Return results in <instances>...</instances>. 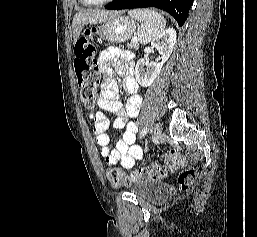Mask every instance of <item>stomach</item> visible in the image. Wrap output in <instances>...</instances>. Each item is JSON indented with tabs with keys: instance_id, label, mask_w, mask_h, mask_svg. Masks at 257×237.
Returning a JSON list of instances; mask_svg holds the SVG:
<instances>
[{
	"instance_id": "obj_1",
	"label": "stomach",
	"mask_w": 257,
	"mask_h": 237,
	"mask_svg": "<svg viewBox=\"0 0 257 237\" xmlns=\"http://www.w3.org/2000/svg\"><path fill=\"white\" fill-rule=\"evenodd\" d=\"M136 30V22L122 15H115L96 27L94 38L111 43H122L131 39Z\"/></svg>"
}]
</instances>
